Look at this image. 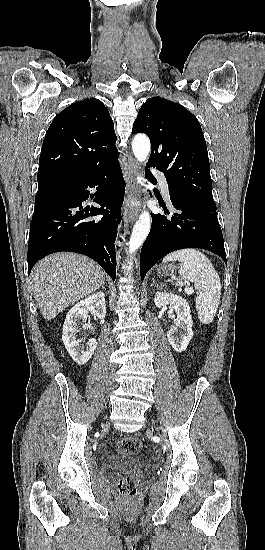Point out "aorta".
I'll return each instance as SVG.
<instances>
[{
  "label": "aorta",
  "instance_id": "aorta-1",
  "mask_svg": "<svg viewBox=\"0 0 265 550\" xmlns=\"http://www.w3.org/2000/svg\"><path fill=\"white\" fill-rule=\"evenodd\" d=\"M150 140L146 135H137L132 142V150L139 162H146L150 153ZM151 228V217L148 211H143L136 221L129 240V254L135 253L147 238ZM132 264L131 262L129 263Z\"/></svg>",
  "mask_w": 265,
  "mask_h": 550
}]
</instances>
